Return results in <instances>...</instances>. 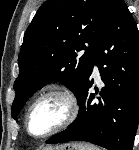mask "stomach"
<instances>
[{
	"instance_id": "stomach-1",
	"label": "stomach",
	"mask_w": 139,
	"mask_h": 150,
	"mask_svg": "<svg viewBox=\"0 0 139 150\" xmlns=\"http://www.w3.org/2000/svg\"><path fill=\"white\" fill-rule=\"evenodd\" d=\"M48 150H88V147L82 144L68 143Z\"/></svg>"
}]
</instances>
